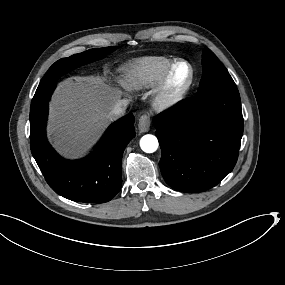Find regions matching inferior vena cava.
I'll return each mask as SVG.
<instances>
[{
	"mask_svg": "<svg viewBox=\"0 0 285 285\" xmlns=\"http://www.w3.org/2000/svg\"><path fill=\"white\" fill-rule=\"evenodd\" d=\"M128 105H129L128 100L117 101V103L114 105V107L111 109V111L108 114L109 118L115 119L117 117L124 115Z\"/></svg>",
	"mask_w": 285,
	"mask_h": 285,
	"instance_id": "1",
	"label": "inferior vena cava"
}]
</instances>
